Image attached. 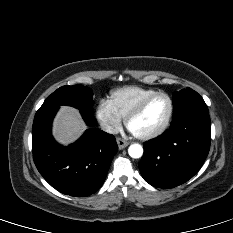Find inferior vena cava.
<instances>
[{
	"mask_svg": "<svg viewBox=\"0 0 233 233\" xmlns=\"http://www.w3.org/2000/svg\"><path fill=\"white\" fill-rule=\"evenodd\" d=\"M101 129L109 134H117L118 129L116 127H113L109 124L103 123L101 124Z\"/></svg>",
	"mask_w": 233,
	"mask_h": 233,
	"instance_id": "inferior-vena-cava-1",
	"label": "inferior vena cava"
}]
</instances>
